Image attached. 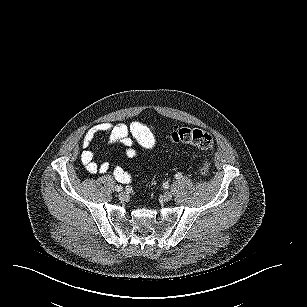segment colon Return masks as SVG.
<instances>
[{
  "instance_id": "5ec220e1",
  "label": "colon",
  "mask_w": 307,
  "mask_h": 307,
  "mask_svg": "<svg viewBox=\"0 0 307 307\" xmlns=\"http://www.w3.org/2000/svg\"><path fill=\"white\" fill-rule=\"evenodd\" d=\"M175 144L192 145L200 150L211 154L214 149V140L211 134L200 129L178 128L170 136ZM210 162L205 160L201 166L200 174L207 177L209 174Z\"/></svg>"
}]
</instances>
